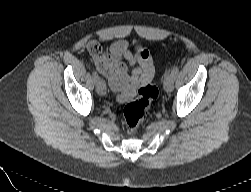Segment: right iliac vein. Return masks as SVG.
<instances>
[{"label": "right iliac vein", "instance_id": "63e3f726", "mask_svg": "<svg viewBox=\"0 0 251 192\" xmlns=\"http://www.w3.org/2000/svg\"><path fill=\"white\" fill-rule=\"evenodd\" d=\"M96 90H97V92H98L100 95H102V96L106 95V84H105V82H104L103 80L100 79V80L96 83Z\"/></svg>", "mask_w": 251, "mask_h": 192}]
</instances>
